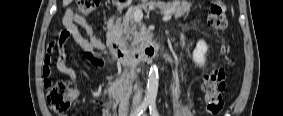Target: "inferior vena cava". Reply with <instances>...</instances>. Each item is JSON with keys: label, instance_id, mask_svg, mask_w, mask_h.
Listing matches in <instances>:
<instances>
[{"label": "inferior vena cava", "instance_id": "inferior-vena-cava-1", "mask_svg": "<svg viewBox=\"0 0 283 116\" xmlns=\"http://www.w3.org/2000/svg\"><path fill=\"white\" fill-rule=\"evenodd\" d=\"M133 76H134V78H137V75H135V73H133ZM141 100H142V89H141V87H138L135 90V94L133 96V102L134 103H140Z\"/></svg>", "mask_w": 283, "mask_h": 116}]
</instances>
